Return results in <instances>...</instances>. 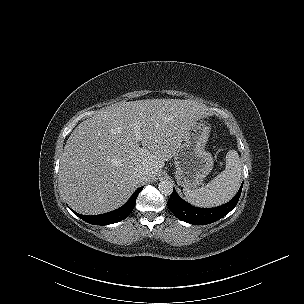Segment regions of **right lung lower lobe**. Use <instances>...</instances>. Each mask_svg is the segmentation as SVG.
Listing matches in <instances>:
<instances>
[{
    "mask_svg": "<svg viewBox=\"0 0 304 304\" xmlns=\"http://www.w3.org/2000/svg\"><path fill=\"white\" fill-rule=\"evenodd\" d=\"M143 189V187L138 188L134 194L131 196V198L128 200V202L120 207L117 210L111 211L106 214H101V215H95V216H84L80 215L76 212H73L82 220L94 224V225H108V224H113L119 221L124 220L133 210L135 207L136 203V198L140 191Z\"/></svg>",
    "mask_w": 304,
    "mask_h": 304,
    "instance_id": "obj_1",
    "label": "right lung lower lobe"
}]
</instances>
